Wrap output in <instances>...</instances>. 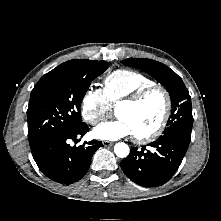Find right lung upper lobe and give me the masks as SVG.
Returning a JSON list of instances; mask_svg holds the SVG:
<instances>
[{
  "mask_svg": "<svg viewBox=\"0 0 221 221\" xmlns=\"http://www.w3.org/2000/svg\"><path fill=\"white\" fill-rule=\"evenodd\" d=\"M63 65L61 64V65H59L58 67H56L55 69H53L52 71H50V72H54V71H57V70H59V69H61V67H62Z\"/></svg>",
  "mask_w": 221,
  "mask_h": 221,
  "instance_id": "1",
  "label": "right lung upper lobe"
}]
</instances>
